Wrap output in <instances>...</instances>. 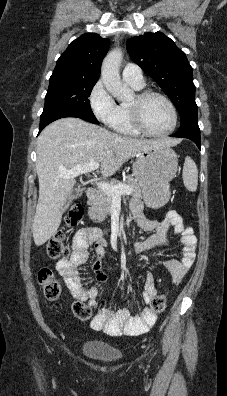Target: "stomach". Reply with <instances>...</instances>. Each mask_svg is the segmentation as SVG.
I'll list each match as a JSON object with an SVG mask.
<instances>
[{
	"mask_svg": "<svg viewBox=\"0 0 227 396\" xmlns=\"http://www.w3.org/2000/svg\"><path fill=\"white\" fill-rule=\"evenodd\" d=\"M177 167V155L167 146L152 147L137 155L133 175L148 207L161 208L169 201V182L175 177Z\"/></svg>",
	"mask_w": 227,
	"mask_h": 396,
	"instance_id": "obj_1",
	"label": "stomach"
}]
</instances>
